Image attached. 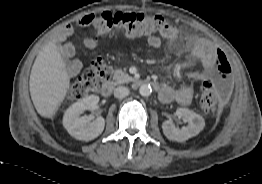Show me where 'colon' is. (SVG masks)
<instances>
[{"instance_id":"1","label":"colon","mask_w":262,"mask_h":184,"mask_svg":"<svg viewBox=\"0 0 262 184\" xmlns=\"http://www.w3.org/2000/svg\"><path fill=\"white\" fill-rule=\"evenodd\" d=\"M80 23L93 26L98 37L120 36L135 39L141 36H156L170 27L160 15L143 13L103 12L85 15ZM215 63L216 76L205 81L200 87L199 108L207 115H216L228 101L232 90L231 67L225 54L217 50ZM109 63L102 57L86 67L71 85L68 97L80 100L97 92L111 76Z\"/></svg>"}]
</instances>
